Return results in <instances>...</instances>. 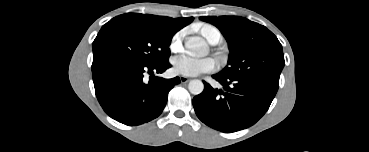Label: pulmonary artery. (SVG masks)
<instances>
[{
	"label": "pulmonary artery",
	"mask_w": 369,
	"mask_h": 152,
	"mask_svg": "<svg viewBox=\"0 0 369 152\" xmlns=\"http://www.w3.org/2000/svg\"><path fill=\"white\" fill-rule=\"evenodd\" d=\"M220 39H221V33L219 32V30L218 29H212L211 31H210V39H209V43L210 44H213V45H215V44H217L219 41H220Z\"/></svg>",
	"instance_id": "obj_1"
}]
</instances>
